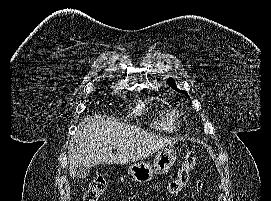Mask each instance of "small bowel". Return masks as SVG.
<instances>
[{"label":"small bowel","mask_w":271,"mask_h":201,"mask_svg":"<svg viewBox=\"0 0 271 201\" xmlns=\"http://www.w3.org/2000/svg\"><path fill=\"white\" fill-rule=\"evenodd\" d=\"M195 185H196L197 188H200L202 183L200 181H197Z\"/></svg>","instance_id":"obj_1"}]
</instances>
